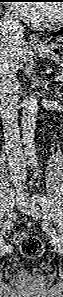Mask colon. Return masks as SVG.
Listing matches in <instances>:
<instances>
[{
	"instance_id": "colon-1",
	"label": "colon",
	"mask_w": 63,
	"mask_h": 297,
	"mask_svg": "<svg viewBox=\"0 0 63 297\" xmlns=\"http://www.w3.org/2000/svg\"><path fill=\"white\" fill-rule=\"evenodd\" d=\"M15 243L21 253L31 259L41 257L43 253V244L41 240L35 236L19 233L15 236Z\"/></svg>"
}]
</instances>
